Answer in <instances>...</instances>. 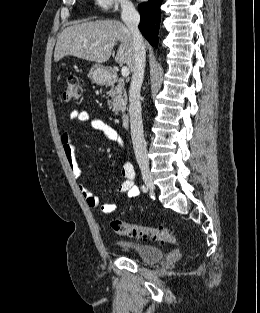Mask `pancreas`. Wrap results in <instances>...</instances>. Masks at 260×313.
<instances>
[{
    "mask_svg": "<svg viewBox=\"0 0 260 313\" xmlns=\"http://www.w3.org/2000/svg\"><path fill=\"white\" fill-rule=\"evenodd\" d=\"M109 96L111 99L108 100V106L113 109V112L118 114L119 112H124L126 110L127 93L124 89L123 81L120 80L118 85L110 90Z\"/></svg>",
    "mask_w": 260,
    "mask_h": 313,
    "instance_id": "pancreas-1",
    "label": "pancreas"
}]
</instances>
